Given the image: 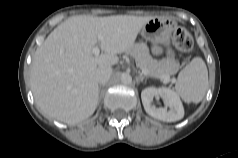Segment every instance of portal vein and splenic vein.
Returning <instances> with one entry per match:
<instances>
[{"label":"portal vein and splenic vein","instance_id":"obj_1","mask_svg":"<svg viewBox=\"0 0 238 158\" xmlns=\"http://www.w3.org/2000/svg\"><path fill=\"white\" fill-rule=\"evenodd\" d=\"M104 39L103 35H98V41H102ZM93 54L98 56L100 53V48L99 46H95L92 50ZM142 73L144 75H148V70L146 68L142 69ZM165 83H168L170 81L169 76H163L162 77ZM172 82H175V79H172Z\"/></svg>","mask_w":238,"mask_h":158}]
</instances>
